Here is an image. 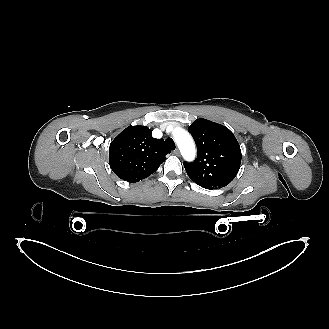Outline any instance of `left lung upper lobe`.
Wrapping results in <instances>:
<instances>
[{"instance_id": "left-lung-upper-lobe-1", "label": "left lung upper lobe", "mask_w": 329, "mask_h": 329, "mask_svg": "<svg viewBox=\"0 0 329 329\" xmlns=\"http://www.w3.org/2000/svg\"><path fill=\"white\" fill-rule=\"evenodd\" d=\"M188 130L198 152L194 162L184 163L189 178L206 189L227 186L241 164V150L234 134L227 127L206 119H197Z\"/></svg>"}]
</instances>
